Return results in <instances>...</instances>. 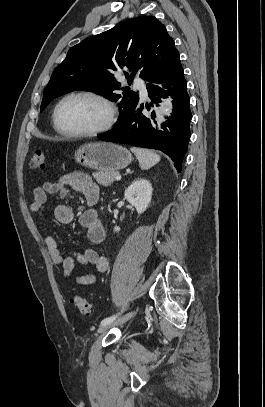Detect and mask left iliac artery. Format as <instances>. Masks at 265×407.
Listing matches in <instances>:
<instances>
[{
    "instance_id": "1",
    "label": "left iliac artery",
    "mask_w": 265,
    "mask_h": 407,
    "mask_svg": "<svg viewBox=\"0 0 265 407\" xmlns=\"http://www.w3.org/2000/svg\"><path fill=\"white\" fill-rule=\"evenodd\" d=\"M117 318V315H114V316H110V317H107V318H105V319H103L102 321H101V326L102 325H105V324H108V323H111L113 320H115Z\"/></svg>"
}]
</instances>
